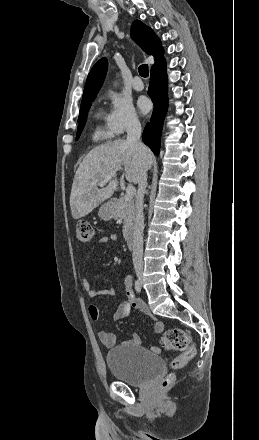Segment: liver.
Wrapping results in <instances>:
<instances>
[{"instance_id": "6515ba94", "label": "liver", "mask_w": 259, "mask_h": 440, "mask_svg": "<svg viewBox=\"0 0 259 440\" xmlns=\"http://www.w3.org/2000/svg\"><path fill=\"white\" fill-rule=\"evenodd\" d=\"M148 169L153 155L148 149L145 158ZM124 168L128 182L138 183L142 164L137 148L127 140H115L95 147L79 165L71 189L70 207L74 219L82 218L109 199L117 189L116 176L102 188L97 185L110 173Z\"/></svg>"}]
</instances>
